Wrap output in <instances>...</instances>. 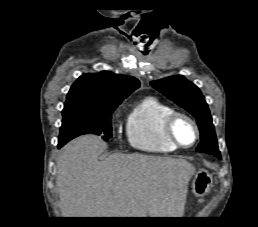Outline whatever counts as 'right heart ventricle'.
I'll use <instances>...</instances> for the list:
<instances>
[{
  "label": "right heart ventricle",
  "mask_w": 258,
  "mask_h": 227,
  "mask_svg": "<svg viewBox=\"0 0 258 227\" xmlns=\"http://www.w3.org/2000/svg\"><path fill=\"white\" fill-rule=\"evenodd\" d=\"M172 108L153 96L144 97L131 110L127 118V136L130 145L140 151L167 154L178 148L163 132V121Z\"/></svg>",
  "instance_id": "1"
}]
</instances>
